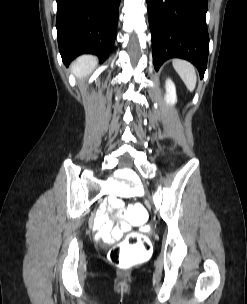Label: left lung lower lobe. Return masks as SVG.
Returning a JSON list of instances; mask_svg holds the SVG:
<instances>
[{
    "label": "left lung lower lobe",
    "instance_id": "obj_1",
    "mask_svg": "<svg viewBox=\"0 0 247 304\" xmlns=\"http://www.w3.org/2000/svg\"><path fill=\"white\" fill-rule=\"evenodd\" d=\"M155 70L169 58L193 63L200 77L207 67V0H147Z\"/></svg>",
    "mask_w": 247,
    "mask_h": 304
}]
</instances>
